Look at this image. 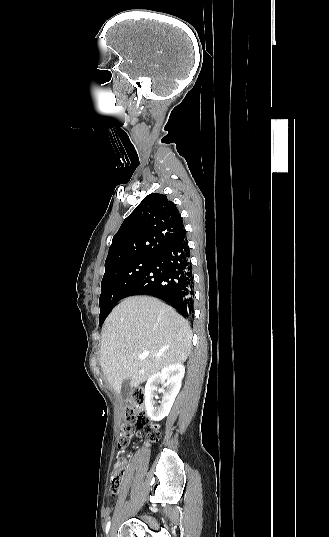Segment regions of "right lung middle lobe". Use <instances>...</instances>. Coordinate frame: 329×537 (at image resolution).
I'll return each mask as SVG.
<instances>
[{"instance_id": "1", "label": "right lung middle lobe", "mask_w": 329, "mask_h": 537, "mask_svg": "<svg viewBox=\"0 0 329 537\" xmlns=\"http://www.w3.org/2000/svg\"><path fill=\"white\" fill-rule=\"evenodd\" d=\"M152 258L137 259L105 270L99 299V325H102L112 307L128 292L145 272Z\"/></svg>"}]
</instances>
